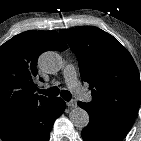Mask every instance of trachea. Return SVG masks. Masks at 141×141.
I'll return each mask as SVG.
<instances>
[{"label":"trachea","mask_w":141,"mask_h":141,"mask_svg":"<svg viewBox=\"0 0 141 141\" xmlns=\"http://www.w3.org/2000/svg\"><path fill=\"white\" fill-rule=\"evenodd\" d=\"M38 91H39V93L44 94L46 96H50V97L51 96H58L60 94L63 97V99L66 101H70L72 98V94L69 91L62 90L60 92V89L57 87H51L47 90H40L39 89Z\"/></svg>","instance_id":"3493384b"}]
</instances>
